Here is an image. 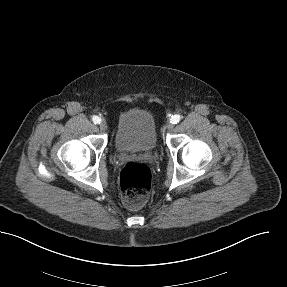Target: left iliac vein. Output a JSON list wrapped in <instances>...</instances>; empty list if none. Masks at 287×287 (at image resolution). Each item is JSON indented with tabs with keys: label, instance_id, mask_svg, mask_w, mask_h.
<instances>
[{
	"label": "left iliac vein",
	"instance_id": "left-iliac-vein-1",
	"mask_svg": "<svg viewBox=\"0 0 287 287\" xmlns=\"http://www.w3.org/2000/svg\"><path fill=\"white\" fill-rule=\"evenodd\" d=\"M174 128V125L173 124H171V123H168L167 125H166V129L167 130H172Z\"/></svg>",
	"mask_w": 287,
	"mask_h": 287
}]
</instances>
